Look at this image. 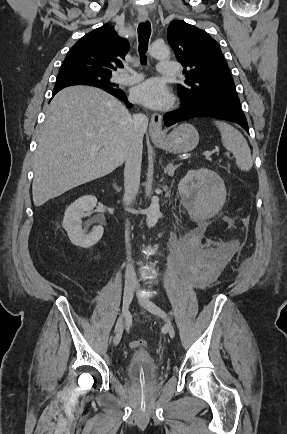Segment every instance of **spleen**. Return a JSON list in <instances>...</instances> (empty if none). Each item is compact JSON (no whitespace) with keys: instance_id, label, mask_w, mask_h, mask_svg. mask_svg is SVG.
Wrapping results in <instances>:
<instances>
[{"instance_id":"1","label":"spleen","mask_w":287,"mask_h":434,"mask_svg":"<svg viewBox=\"0 0 287 434\" xmlns=\"http://www.w3.org/2000/svg\"><path fill=\"white\" fill-rule=\"evenodd\" d=\"M215 125L221 133L223 146L235 157L237 167L242 171H249L253 166V159L244 136L226 122L215 121Z\"/></svg>"}]
</instances>
